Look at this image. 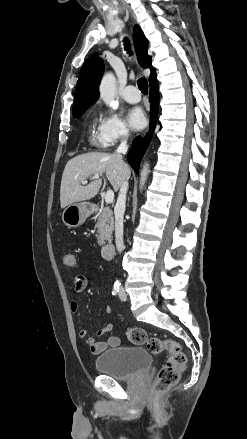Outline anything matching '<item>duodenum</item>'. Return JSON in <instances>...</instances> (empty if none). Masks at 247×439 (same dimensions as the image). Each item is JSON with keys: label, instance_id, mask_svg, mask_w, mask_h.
I'll list each match as a JSON object with an SVG mask.
<instances>
[{"label": "duodenum", "instance_id": "410a0bca", "mask_svg": "<svg viewBox=\"0 0 247 439\" xmlns=\"http://www.w3.org/2000/svg\"><path fill=\"white\" fill-rule=\"evenodd\" d=\"M101 254L105 259H111L114 254V245L112 243L105 244L101 249Z\"/></svg>", "mask_w": 247, "mask_h": 439}]
</instances>
